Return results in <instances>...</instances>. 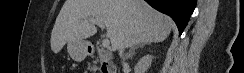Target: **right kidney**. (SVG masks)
Masks as SVG:
<instances>
[{
	"mask_svg": "<svg viewBox=\"0 0 244 73\" xmlns=\"http://www.w3.org/2000/svg\"><path fill=\"white\" fill-rule=\"evenodd\" d=\"M152 60H153L152 55H146L142 57L134 68L135 73H145L150 67Z\"/></svg>",
	"mask_w": 244,
	"mask_h": 73,
	"instance_id": "1",
	"label": "right kidney"
}]
</instances>
